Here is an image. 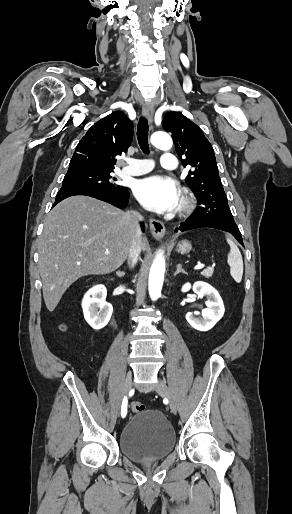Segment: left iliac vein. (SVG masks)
Listing matches in <instances>:
<instances>
[{"instance_id": "1", "label": "left iliac vein", "mask_w": 292, "mask_h": 514, "mask_svg": "<svg viewBox=\"0 0 292 514\" xmlns=\"http://www.w3.org/2000/svg\"><path fill=\"white\" fill-rule=\"evenodd\" d=\"M155 390L158 394H160L161 396L165 397L168 399V402H169V407L171 409V412L176 414L177 413V406H176V403H175V400L166 384V382L162 379L159 378L156 386H155Z\"/></svg>"}]
</instances>
